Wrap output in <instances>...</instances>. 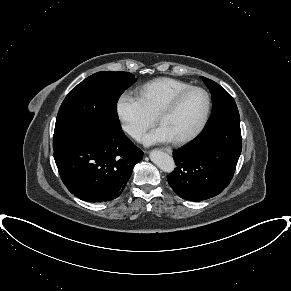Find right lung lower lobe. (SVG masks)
Wrapping results in <instances>:
<instances>
[{"label": "right lung lower lobe", "mask_w": 291, "mask_h": 291, "mask_svg": "<svg viewBox=\"0 0 291 291\" xmlns=\"http://www.w3.org/2000/svg\"><path fill=\"white\" fill-rule=\"evenodd\" d=\"M143 152L123 131L84 134L54 150L60 177L68 190L88 202H106L124 190Z\"/></svg>", "instance_id": "right-lung-lower-lobe-1"}]
</instances>
